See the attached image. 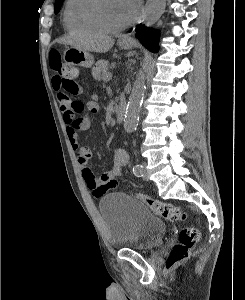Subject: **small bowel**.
<instances>
[{
  "mask_svg": "<svg viewBox=\"0 0 245 300\" xmlns=\"http://www.w3.org/2000/svg\"><path fill=\"white\" fill-rule=\"evenodd\" d=\"M53 89L56 92V98L63 114V120L66 124V133L68 139L76 153L77 162L82 169V176L97 198L105 195L110 189L118 184V179L122 176L123 167L127 165L129 156L125 149H113V166L101 176L93 173L89 162L92 157L90 149L81 143L80 132L86 131L91 127V114H96L99 110L98 103L95 99L84 102V107L77 110L68 94H81L82 87L77 83V89L74 92L67 91L60 80L54 76L52 80Z\"/></svg>",
  "mask_w": 245,
  "mask_h": 300,
  "instance_id": "1",
  "label": "small bowel"
}]
</instances>
